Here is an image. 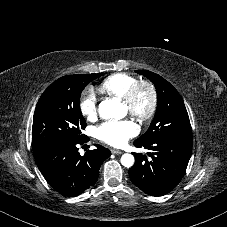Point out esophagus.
Listing matches in <instances>:
<instances>
[{"label": "esophagus", "mask_w": 227, "mask_h": 227, "mask_svg": "<svg viewBox=\"0 0 227 227\" xmlns=\"http://www.w3.org/2000/svg\"><path fill=\"white\" fill-rule=\"evenodd\" d=\"M111 152H112L113 154H122V151L116 150V149H111Z\"/></svg>", "instance_id": "1"}]
</instances>
